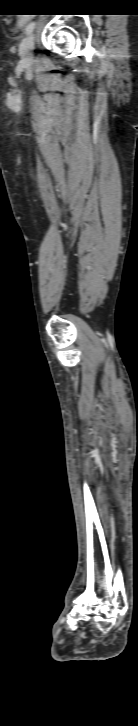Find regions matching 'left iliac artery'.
Listing matches in <instances>:
<instances>
[{"instance_id": "44dca946", "label": "left iliac artery", "mask_w": 138, "mask_h": 726, "mask_svg": "<svg viewBox=\"0 0 138 726\" xmlns=\"http://www.w3.org/2000/svg\"><path fill=\"white\" fill-rule=\"evenodd\" d=\"M35 24H36V23H35L34 21H32V22H30V23H29V24L27 25V27H26V33H27V34H30V33H31V32H32L33 30H34V28H35Z\"/></svg>"}]
</instances>
